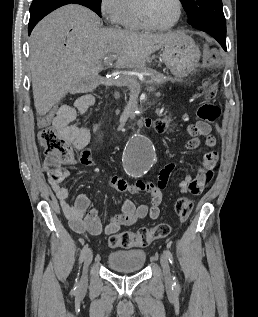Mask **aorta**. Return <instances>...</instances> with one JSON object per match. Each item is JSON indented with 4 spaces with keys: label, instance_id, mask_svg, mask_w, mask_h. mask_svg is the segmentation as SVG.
Wrapping results in <instances>:
<instances>
[{
    "label": "aorta",
    "instance_id": "1",
    "mask_svg": "<svg viewBox=\"0 0 258 317\" xmlns=\"http://www.w3.org/2000/svg\"><path fill=\"white\" fill-rule=\"evenodd\" d=\"M154 146L149 138L134 134L128 141L124 155L123 166L132 177L143 176L154 163Z\"/></svg>",
    "mask_w": 258,
    "mask_h": 317
}]
</instances>
